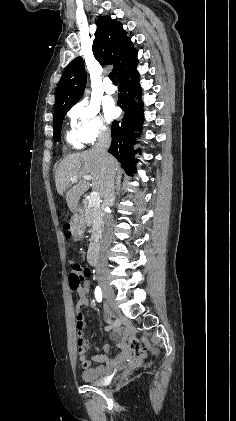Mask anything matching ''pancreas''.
Instances as JSON below:
<instances>
[{
  "label": "pancreas",
  "instance_id": "1",
  "mask_svg": "<svg viewBox=\"0 0 236 421\" xmlns=\"http://www.w3.org/2000/svg\"><path fill=\"white\" fill-rule=\"evenodd\" d=\"M103 211L100 206H89V200H84V217L87 227H91V243H99Z\"/></svg>",
  "mask_w": 236,
  "mask_h": 421
}]
</instances>
